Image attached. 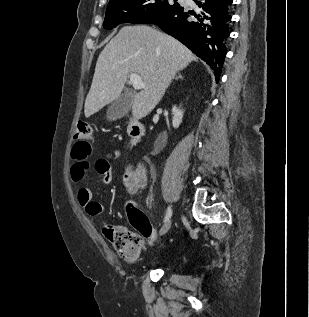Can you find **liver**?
<instances>
[{"label":"liver","mask_w":309,"mask_h":317,"mask_svg":"<svg viewBox=\"0 0 309 317\" xmlns=\"http://www.w3.org/2000/svg\"><path fill=\"white\" fill-rule=\"evenodd\" d=\"M196 60L182 43L152 27H122L98 57L85 117L116 100L129 73L139 74L145 85L132 101V115L145 117L160 102L175 74Z\"/></svg>","instance_id":"liver-1"}]
</instances>
